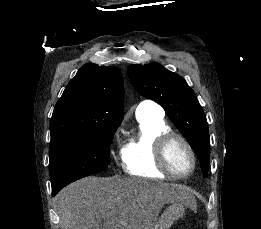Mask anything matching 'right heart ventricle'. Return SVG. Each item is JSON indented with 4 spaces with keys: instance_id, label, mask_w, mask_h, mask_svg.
Instances as JSON below:
<instances>
[{
    "instance_id": "right-heart-ventricle-1",
    "label": "right heart ventricle",
    "mask_w": 261,
    "mask_h": 229,
    "mask_svg": "<svg viewBox=\"0 0 261 229\" xmlns=\"http://www.w3.org/2000/svg\"><path fill=\"white\" fill-rule=\"evenodd\" d=\"M136 114L144 116L137 118L140 133L128 140L120 150L124 170L131 175L151 176L165 174L157 162L156 145L160 136L171 132L162 115L153 111H139Z\"/></svg>"
}]
</instances>
